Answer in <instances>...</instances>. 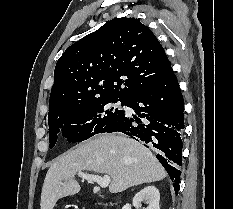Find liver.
<instances>
[{
  "label": "liver",
  "mask_w": 233,
  "mask_h": 209,
  "mask_svg": "<svg viewBox=\"0 0 233 209\" xmlns=\"http://www.w3.org/2000/svg\"><path fill=\"white\" fill-rule=\"evenodd\" d=\"M82 171L109 175L111 193L160 181L167 176L152 152L139 142L122 135H100L58 157L50 166L42 188L40 208L53 209L59 199L77 194L80 185L75 175Z\"/></svg>",
  "instance_id": "6515ba94"
}]
</instances>
